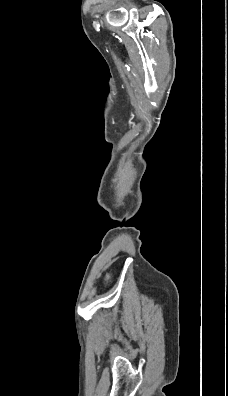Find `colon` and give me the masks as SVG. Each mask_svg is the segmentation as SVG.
<instances>
[{
  "instance_id": "colon-1",
  "label": "colon",
  "mask_w": 228,
  "mask_h": 396,
  "mask_svg": "<svg viewBox=\"0 0 228 396\" xmlns=\"http://www.w3.org/2000/svg\"><path fill=\"white\" fill-rule=\"evenodd\" d=\"M109 278H110L109 275H107L106 278H105V280H109Z\"/></svg>"
}]
</instances>
